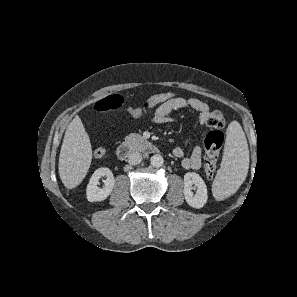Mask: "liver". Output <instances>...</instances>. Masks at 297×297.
Masks as SVG:
<instances>
[{"mask_svg": "<svg viewBox=\"0 0 297 297\" xmlns=\"http://www.w3.org/2000/svg\"><path fill=\"white\" fill-rule=\"evenodd\" d=\"M92 161L89 136L79 116L69 123L59 156V176L68 189L77 187L85 178Z\"/></svg>", "mask_w": 297, "mask_h": 297, "instance_id": "obj_1", "label": "liver"}]
</instances>
